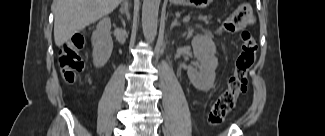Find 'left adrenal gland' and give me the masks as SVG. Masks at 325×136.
I'll list each match as a JSON object with an SVG mask.
<instances>
[{"instance_id": "a2214340", "label": "left adrenal gland", "mask_w": 325, "mask_h": 136, "mask_svg": "<svg viewBox=\"0 0 325 136\" xmlns=\"http://www.w3.org/2000/svg\"><path fill=\"white\" fill-rule=\"evenodd\" d=\"M177 25H179V22L177 21V18H174V20H173V22H172V24H171L170 29L172 30L173 27H175V26H177Z\"/></svg>"}]
</instances>
